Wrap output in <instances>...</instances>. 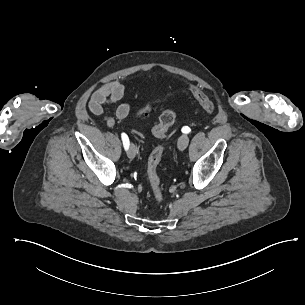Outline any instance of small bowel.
<instances>
[{"mask_svg":"<svg viewBox=\"0 0 305 305\" xmlns=\"http://www.w3.org/2000/svg\"><path fill=\"white\" fill-rule=\"evenodd\" d=\"M124 91V85L120 81L114 80L98 88L89 100V110L93 114L101 116L105 125L109 128L115 125L116 119H124L130 113L131 107L128 103H122L117 107L115 117L108 116L105 113V106L119 101L123 97Z\"/></svg>","mask_w":305,"mask_h":305,"instance_id":"c3829d8e","label":"small bowel"}]
</instances>
